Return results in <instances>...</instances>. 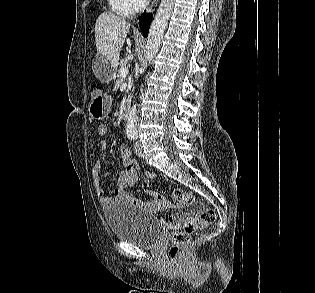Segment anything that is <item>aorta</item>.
Wrapping results in <instances>:
<instances>
[{
  "mask_svg": "<svg viewBox=\"0 0 315 293\" xmlns=\"http://www.w3.org/2000/svg\"><path fill=\"white\" fill-rule=\"evenodd\" d=\"M174 0H161L155 18L151 24L147 38V53L146 59L150 64L159 51L162 43L163 35L167 26V22L172 13ZM134 104L129 112L128 121L126 124L127 132L136 130L137 125V108Z\"/></svg>",
  "mask_w": 315,
  "mask_h": 293,
  "instance_id": "1",
  "label": "aorta"
}]
</instances>
